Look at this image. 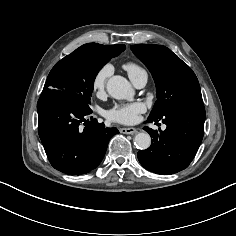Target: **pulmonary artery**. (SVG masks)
Masks as SVG:
<instances>
[{
  "mask_svg": "<svg viewBox=\"0 0 236 236\" xmlns=\"http://www.w3.org/2000/svg\"><path fill=\"white\" fill-rule=\"evenodd\" d=\"M147 80H148L147 73H143V74L139 75L137 78H135L132 81H133V83L135 84L136 87L142 88L147 83Z\"/></svg>",
  "mask_w": 236,
  "mask_h": 236,
  "instance_id": "1",
  "label": "pulmonary artery"
}]
</instances>
